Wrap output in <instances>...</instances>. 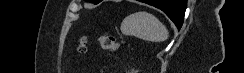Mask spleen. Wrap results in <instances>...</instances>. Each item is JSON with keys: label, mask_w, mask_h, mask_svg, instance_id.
I'll list each match as a JSON object with an SVG mask.
<instances>
[{"label": "spleen", "mask_w": 244, "mask_h": 73, "mask_svg": "<svg viewBox=\"0 0 244 73\" xmlns=\"http://www.w3.org/2000/svg\"><path fill=\"white\" fill-rule=\"evenodd\" d=\"M121 32L149 42H163L169 32L157 17L148 12H138L127 16L121 24Z\"/></svg>", "instance_id": "3e777b00"}]
</instances>
